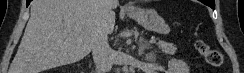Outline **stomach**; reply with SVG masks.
Returning a JSON list of instances; mask_svg holds the SVG:
<instances>
[{
  "instance_id": "0dacf381",
  "label": "stomach",
  "mask_w": 244,
  "mask_h": 73,
  "mask_svg": "<svg viewBox=\"0 0 244 73\" xmlns=\"http://www.w3.org/2000/svg\"><path fill=\"white\" fill-rule=\"evenodd\" d=\"M127 14L148 31L162 35L170 32L168 23L153 9L135 8L129 10Z\"/></svg>"
}]
</instances>
